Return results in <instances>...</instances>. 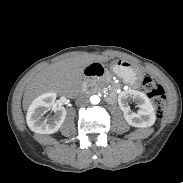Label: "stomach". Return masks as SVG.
Here are the masks:
<instances>
[{
    "label": "stomach",
    "instance_id": "1",
    "mask_svg": "<svg viewBox=\"0 0 183 183\" xmlns=\"http://www.w3.org/2000/svg\"><path fill=\"white\" fill-rule=\"evenodd\" d=\"M111 69L116 75L123 78L130 85H138L142 81V69L126 60H114L111 63Z\"/></svg>",
    "mask_w": 183,
    "mask_h": 183
}]
</instances>
